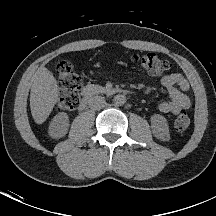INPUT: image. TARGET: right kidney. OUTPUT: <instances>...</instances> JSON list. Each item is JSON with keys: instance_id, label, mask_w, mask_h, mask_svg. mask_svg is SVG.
Wrapping results in <instances>:
<instances>
[{"instance_id": "right-kidney-1", "label": "right kidney", "mask_w": 216, "mask_h": 216, "mask_svg": "<svg viewBox=\"0 0 216 216\" xmlns=\"http://www.w3.org/2000/svg\"><path fill=\"white\" fill-rule=\"evenodd\" d=\"M69 128L68 115L65 112L57 114L50 123L49 135L52 138H61L65 136Z\"/></svg>"}]
</instances>
